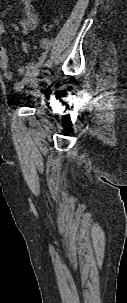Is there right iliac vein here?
Returning a JSON list of instances; mask_svg holds the SVG:
<instances>
[{"label":"right iliac vein","mask_w":127,"mask_h":303,"mask_svg":"<svg viewBox=\"0 0 127 303\" xmlns=\"http://www.w3.org/2000/svg\"><path fill=\"white\" fill-rule=\"evenodd\" d=\"M48 75H49V72L46 71L45 74L43 75V79L44 80L48 79V77H49Z\"/></svg>","instance_id":"63e3f726"}]
</instances>
